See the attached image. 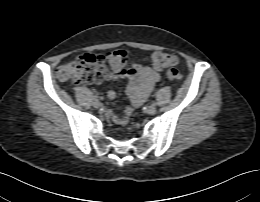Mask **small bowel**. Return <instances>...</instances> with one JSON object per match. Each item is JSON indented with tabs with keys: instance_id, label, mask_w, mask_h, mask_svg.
Listing matches in <instances>:
<instances>
[{
	"instance_id": "small-bowel-1",
	"label": "small bowel",
	"mask_w": 260,
	"mask_h": 202,
	"mask_svg": "<svg viewBox=\"0 0 260 202\" xmlns=\"http://www.w3.org/2000/svg\"><path fill=\"white\" fill-rule=\"evenodd\" d=\"M110 80L118 81L127 78L128 85L126 93L133 107L126 108L123 112H109V118L117 124H126L128 116L133 113L134 108L144 103L146 98L152 92L154 85L160 80L159 73L148 67L132 65L129 69L120 70L112 67V72L107 76ZM108 98L114 99L116 93L113 90L108 91Z\"/></svg>"
}]
</instances>
